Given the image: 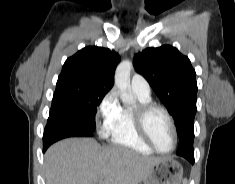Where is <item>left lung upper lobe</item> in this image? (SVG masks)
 I'll list each match as a JSON object with an SVG mask.
<instances>
[{"label": "left lung upper lobe", "mask_w": 235, "mask_h": 184, "mask_svg": "<svg viewBox=\"0 0 235 184\" xmlns=\"http://www.w3.org/2000/svg\"><path fill=\"white\" fill-rule=\"evenodd\" d=\"M133 64L174 118L179 135L176 154L194 156L197 83L190 60L177 48L163 45L139 52L134 56Z\"/></svg>", "instance_id": "left-lung-upper-lobe-1"}]
</instances>
